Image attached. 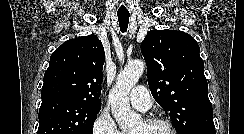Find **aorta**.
<instances>
[{"label": "aorta", "instance_id": "1", "mask_svg": "<svg viewBox=\"0 0 244 134\" xmlns=\"http://www.w3.org/2000/svg\"><path fill=\"white\" fill-rule=\"evenodd\" d=\"M145 64L141 60L129 62L118 74L115 86L109 93L113 117L121 129L133 127L140 115L130 109L129 93L144 72Z\"/></svg>", "mask_w": 244, "mask_h": 134}]
</instances>
